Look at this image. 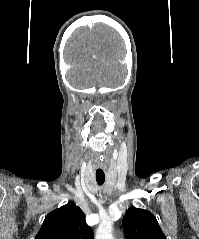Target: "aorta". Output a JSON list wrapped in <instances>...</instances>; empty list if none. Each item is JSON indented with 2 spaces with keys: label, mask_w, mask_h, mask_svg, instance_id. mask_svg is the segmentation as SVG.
I'll list each match as a JSON object with an SVG mask.
<instances>
[{
  "label": "aorta",
  "mask_w": 199,
  "mask_h": 239,
  "mask_svg": "<svg viewBox=\"0 0 199 239\" xmlns=\"http://www.w3.org/2000/svg\"><path fill=\"white\" fill-rule=\"evenodd\" d=\"M113 222L110 218L104 219L100 222L97 230L95 239H113Z\"/></svg>",
  "instance_id": "1"
}]
</instances>
